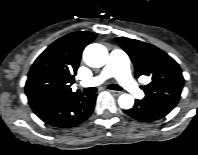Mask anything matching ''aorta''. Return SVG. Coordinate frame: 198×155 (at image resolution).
Instances as JSON below:
<instances>
[{
  "instance_id": "1",
  "label": "aorta",
  "mask_w": 198,
  "mask_h": 155,
  "mask_svg": "<svg viewBox=\"0 0 198 155\" xmlns=\"http://www.w3.org/2000/svg\"><path fill=\"white\" fill-rule=\"evenodd\" d=\"M83 59L88 66L99 68L107 63L108 51L103 45L93 43L85 48ZM118 104L123 109H130L134 105V98L130 94H122L118 98Z\"/></svg>"
}]
</instances>
